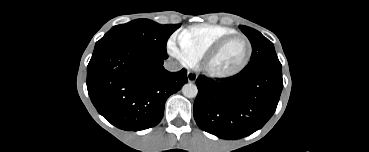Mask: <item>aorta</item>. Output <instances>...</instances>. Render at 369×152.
<instances>
[{
    "mask_svg": "<svg viewBox=\"0 0 369 152\" xmlns=\"http://www.w3.org/2000/svg\"><path fill=\"white\" fill-rule=\"evenodd\" d=\"M182 93L187 98H194L198 93L197 86L193 83L184 84L182 87Z\"/></svg>",
    "mask_w": 369,
    "mask_h": 152,
    "instance_id": "762f6f07",
    "label": "aorta"
}]
</instances>
